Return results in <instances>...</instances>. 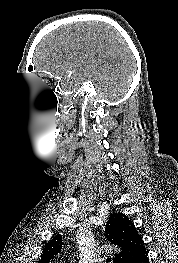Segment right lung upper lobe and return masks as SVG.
<instances>
[{"instance_id": "obj_1", "label": "right lung upper lobe", "mask_w": 178, "mask_h": 263, "mask_svg": "<svg viewBox=\"0 0 178 263\" xmlns=\"http://www.w3.org/2000/svg\"><path fill=\"white\" fill-rule=\"evenodd\" d=\"M105 236L111 244L119 249L118 253L114 254L113 263H132L146 250L141 235L124 214L110 215L105 227ZM62 244V237L60 234L56 235L46 244L38 263H49L54 255L61 251Z\"/></svg>"}]
</instances>
